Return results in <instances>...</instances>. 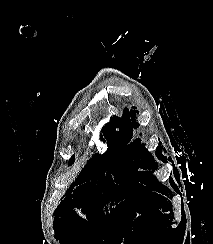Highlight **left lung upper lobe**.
<instances>
[{
	"instance_id": "left-lung-upper-lobe-1",
	"label": "left lung upper lobe",
	"mask_w": 213,
	"mask_h": 244,
	"mask_svg": "<svg viewBox=\"0 0 213 244\" xmlns=\"http://www.w3.org/2000/svg\"><path fill=\"white\" fill-rule=\"evenodd\" d=\"M134 109L136 107H133ZM136 113L138 111L136 110H131L130 115L134 119L136 117ZM130 115H129V110L125 109L124 115L121 119L118 117L112 118L113 121H115V127H119V132L118 134L121 135L123 138L127 139V142H129L132 138L133 134V128L138 127V123H136L135 119L130 120ZM118 122V123H117ZM129 148L134 152L136 158H137V165L141 168L144 169H152V171L156 170L158 165H157V157L154 156V154L150 153L147 151L145 148V145L141 143V139H137L134 142H131L129 144Z\"/></svg>"
}]
</instances>
